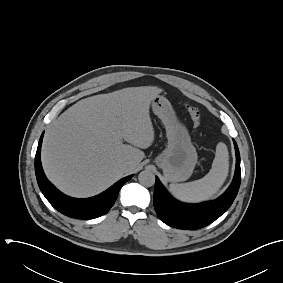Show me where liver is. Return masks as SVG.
Returning a JSON list of instances; mask_svg holds the SVG:
<instances>
[{
  "instance_id": "liver-1",
  "label": "liver",
  "mask_w": 283,
  "mask_h": 283,
  "mask_svg": "<svg viewBox=\"0 0 283 283\" xmlns=\"http://www.w3.org/2000/svg\"><path fill=\"white\" fill-rule=\"evenodd\" d=\"M161 92L153 86L128 87L68 108L45 132L41 159L48 179L65 194L85 198L136 169L145 157L140 149L154 141L149 109ZM126 162L128 169H121Z\"/></svg>"
}]
</instances>
